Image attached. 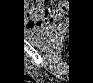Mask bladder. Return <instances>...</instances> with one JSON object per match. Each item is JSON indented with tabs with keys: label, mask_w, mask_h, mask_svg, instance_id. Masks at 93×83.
I'll list each match as a JSON object with an SVG mask.
<instances>
[{
	"label": "bladder",
	"mask_w": 93,
	"mask_h": 83,
	"mask_svg": "<svg viewBox=\"0 0 93 83\" xmlns=\"http://www.w3.org/2000/svg\"><path fill=\"white\" fill-rule=\"evenodd\" d=\"M32 36L37 37L39 40L44 41L46 39V34L42 31L41 27H31L28 29Z\"/></svg>",
	"instance_id": "31cf9c89"
}]
</instances>
